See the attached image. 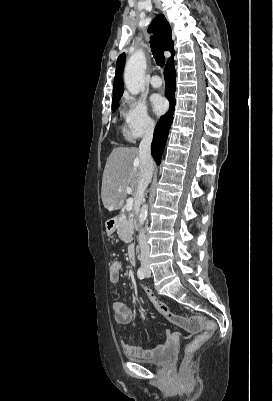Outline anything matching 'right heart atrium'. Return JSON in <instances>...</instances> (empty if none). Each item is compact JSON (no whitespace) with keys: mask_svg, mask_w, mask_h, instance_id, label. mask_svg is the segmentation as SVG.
I'll return each instance as SVG.
<instances>
[{"mask_svg":"<svg viewBox=\"0 0 273 401\" xmlns=\"http://www.w3.org/2000/svg\"><path fill=\"white\" fill-rule=\"evenodd\" d=\"M122 114L125 122L124 134L129 141L149 136L156 128V121L149 115L142 100L132 96L127 97Z\"/></svg>","mask_w":273,"mask_h":401,"instance_id":"1","label":"right heart atrium"}]
</instances>
